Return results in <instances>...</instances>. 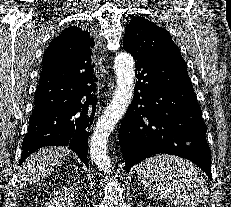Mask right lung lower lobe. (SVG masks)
<instances>
[{
	"mask_svg": "<svg viewBox=\"0 0 231 207\" xmlns=\"http://www.w3.org/2000/svg\"><path fill=\"white\" fill-rule=\"evenodd\" d=\"M86 61L78 63L81 69L73 72L61 65H43L20 165L42 147L68 146L89 166L88 136L96 111L98 80L91 56Z\"/></svg>",
	"mask_w": 231,
	"mask_h": 207,
	"instance_id": "right-lung-lower-lobe-1",
	"label": "right lung lower lobe"
}]
</instances>
